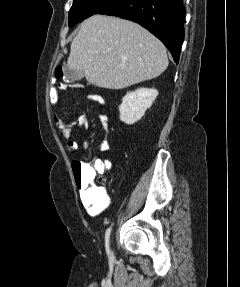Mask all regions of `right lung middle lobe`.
<instances>
[{
  "label": "right lung middle lobe",
  "instance_id": "1",
  "mask_svg": "<svg viewBox=\"0 0 240 287\" xmlns=\"http://www.w3.org/2000/svg\"><path fill=\"white\" fill-rule=\"evenodd\" d=\"M107 0H73L69 11V27L93 15Z\"/></svg>",
  "mask_w": 240,
  "mask_h": 287
}]
</instances>
